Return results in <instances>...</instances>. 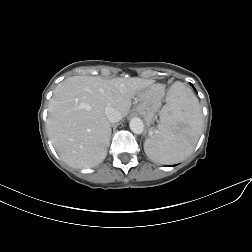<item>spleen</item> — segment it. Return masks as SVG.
Here are the masks:
<instances>
[{
	"label": "spleen",
	"mask_w": 252,
	"mask_h": 252,
	"mask_svg": "<svg viewBox=\"0 0 252 252\" xmlns=\"http://www.w3.org/2000/svg\"><path fill=\"white\" fill-rule=\"evenodd\" d=\"M158 129L144 143L154 162L173 164L183 161L194 150L202 129V113L194 93L181 82L168 91Z\"/></svg>",
	"instance_id": "spleen-1"
}]
</instances>
